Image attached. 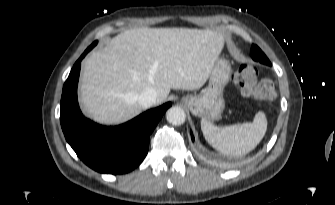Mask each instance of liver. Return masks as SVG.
I'll return each instance as SVG.
<instances>
[{
	"label": "liver",
	"mask_w": 335,
	"mask_h": 205,
	"mask_svg": "<svg viewBox=\"0 0 335 205\" xmlns=\"http://www.w3.org/2000/svg\"><path fill=\"white\" fill-rule=\"evenodd\" d=\"M223 45L222 35L211 30H126L84 61V111L98 123L119 124L142 111L138 96L148 88L156 90V104L164 102L171 89H199Z\"/></svg>",
	"instance_id": "6515ba94"
}]
</instances>
